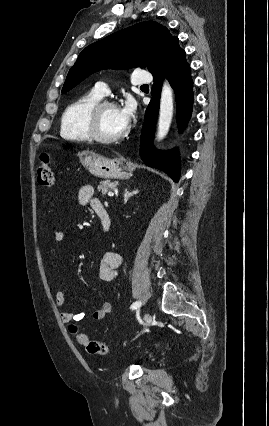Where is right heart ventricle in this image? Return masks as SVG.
<instances>
[{
    "label": "right heart ventricle",
    "instance_id": "e07e8e85",
    "mask_svg": "<svg viewBox=\"0 0 269 426\" xmlns=\"http://www.w3.org/2000/svg\"><path fill=\"white\" fill-rule=\"evenodd\" d=\"M101 98L95 91H90L70 103L61 118L62 137L81 142L91 140L87 129V114Z\"/></svg>",
    "mask_w": 269,
    "mask_h": 426
}]
</instances>
